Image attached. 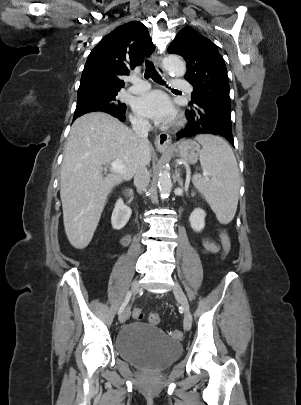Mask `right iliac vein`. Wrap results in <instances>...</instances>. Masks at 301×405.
Instances as JSON below:
<instances>
[{
    "instance_id": "right-iliac-vein-1",
    "label": "right iliac vein",
    "mask_w": 301,
    "mask_h": 405,
    "mask_svg": "<svg viewBox=\"0 0 301 405\" xmlns=\"http://www.w3.org/2000/svg\"><path fill=\"white\" fill-rule=\"evenodd\" d=\"M139 287H140L139 281L134 280L132 283V286H131L132 293L134 295L138 293ZM129 314H130V307H127L119 316L120 323H124L127 320V318L129 317Z\"/></svg>"
}]
</instances>
